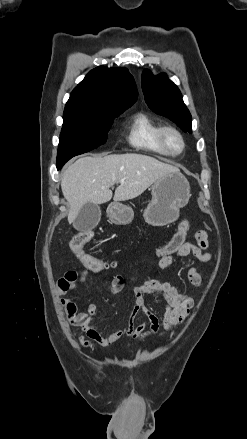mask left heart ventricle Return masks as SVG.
Segmentation results:
<instances>
[{"instance_id": "left-heart-ventricle-1", "label": "left heart ventricle", "mask_w": 247, "mask_h": 439, "mask_svg": "<svg viewBox=\"0 0 247 439\" xmlns=\"http://www.w3.org/2000/svg\"><path fill=\"white\" fill-rule=\"evenodd\" d=\"M168 144L173 150H178L180 148V141L174 135L168 136Z\"/></svg>"}]
</instances>
